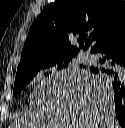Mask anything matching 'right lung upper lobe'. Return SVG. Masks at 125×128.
Returning <instances> with one entry per match:
<instances>
[{
	"instance_id": "right-lung-upper-lobe-1",
	"label": "right lung upper lobe",
	"mask_w": 125,
	"mask_h": 128,
	"mask_svg": "<svg viewBox=\"0 0 125 128\" xmlns=\"http://www.w3.org/2000/svg\"><path fill=\"white\" fill-rule=\"evenodd\" d=\"M124 27L122 0H56L34 21L17 71L53 58L71 59L79 48L91 47L92 52ZM70 39H77L79 48Z\"/></svg>"
}]
</instances>
